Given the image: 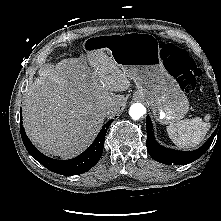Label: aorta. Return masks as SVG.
<instances>
[{"instance_id":"1","label":"aorta","mask_w":221,"mask_h":221,"mask_svg":"<svg viewBox=\"0 0 221 221\" xmlns=\"http://www.w3.org/2000/svg\"><path fill=\"white\" fill-rule=\"evenodd\" d=\"M146 114V108L141 103H134L129 109V115L134 120H139Z\"/></svg>"}]
</instances>
